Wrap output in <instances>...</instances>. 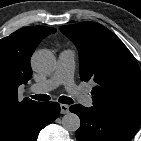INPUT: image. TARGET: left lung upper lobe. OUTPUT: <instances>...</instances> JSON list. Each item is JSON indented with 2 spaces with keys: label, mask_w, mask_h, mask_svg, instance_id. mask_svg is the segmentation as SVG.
Wrapping results in <instances>:
<instances>
[{
  "label": "left lung upper lobe",
  "mask_w": 141,
  "mask_h": 141,
  "mask_svg": "<svg viewBox=\"0 0 141 141\" xmlns=\"http://www.w3.org/2000/svg\"><path fill=\"white\" fill-rule=\"evenodd\" d=\"M80 51V77L95 82L93 106L141 121V71L123 42L99 23L61 26Z\"/></svg>",
  "instance_id": "5c2ea615"
}]
</instances>
